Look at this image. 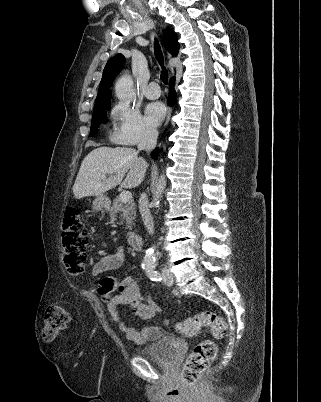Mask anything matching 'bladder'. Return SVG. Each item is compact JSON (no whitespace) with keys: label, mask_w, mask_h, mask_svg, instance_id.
I'll return each mask as SVG.
<instances>
[{"label":"bladder","mask_w":321,"mask_h":402,"mask_svg":"<svg viewBox=\"0 0 321 402\" xmlns=\"http://www.w3.org/2000/svg\"><path fill=\"white\" fill-rule=\"evenodd\" d=\"M181 339L166 331H160L154 343L142 349L145 358L162 366H172L180 353Z\"/></svg>","instance_id":"bladder-1"}]
</instances>
